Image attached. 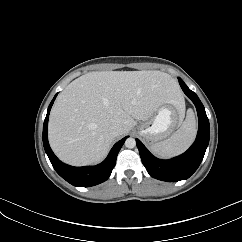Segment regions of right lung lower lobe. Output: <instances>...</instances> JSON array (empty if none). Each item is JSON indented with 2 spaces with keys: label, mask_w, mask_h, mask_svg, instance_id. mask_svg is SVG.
Masks as SVG:
<instances>
[{
  "label": "right lung lower lobe",
  "mask_w": 242,
  "mask_h": 242,
  "mask_svg": "<svg viewBox=\"0 0 242 242\" xmlns=\"http://www.w3.org/2000/svg\"><path fill=\"white\" fill-rule=\"evenodd\" d=\"M56 96L57 94L48 107L47 115L43 125V145L52 166L63 179L74 186L90 187L106 181L116 164V158L119 150L121 149L127 137H124L118 141L111 149L107 158L96 166L72 167L62 163L51 150L47 137L49 113Z\"/></svg>",
  "instance_id": "1"
}]
</instances>
